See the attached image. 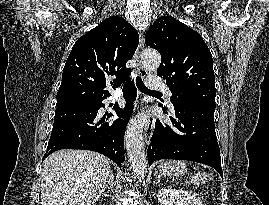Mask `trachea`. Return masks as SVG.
<instances>
[{
    "mask_svg": "<svg viewBox=\"0 0 269 205\" xmlns=\"http://www.w3.org/2000/svg\"><path fill=\"white\" fill-rule=\"evenodd\" d=\"M136 85H137V88H138L141 92H143V93H145V94H159V95H162L161 92L153 91V90L148 89V88L144 85L142 79H141L139 76L136 77Z\"/></svg>",
    "mask_w": 269,
    "mask_h": 205,
    "instance_id": "trachea-1",
    "label": "trachea"
}]
</instances>
